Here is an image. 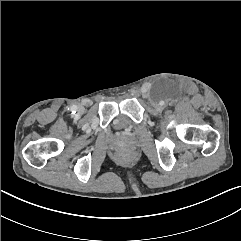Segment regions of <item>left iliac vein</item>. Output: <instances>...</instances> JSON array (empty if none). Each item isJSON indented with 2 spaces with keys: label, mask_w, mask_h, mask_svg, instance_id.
Wrapping results in <instances>:
<instances>
[{
  "label": "left iliac vein",
  "mask_w": 241,
  "mask_h": 241,
  "mask_svg": "<svg viewBox=\"0 0 241 241\" xmlns=\"http://www.w3.org/2000/svg\"><path fill=\"white\" fill-rule=\"evenodd\" d=\"M156 107H157V108H160V106H159L158 104L156 105Z\"/></svg>",
  "instance_id": "4c4485c4"
}]
</instances>
